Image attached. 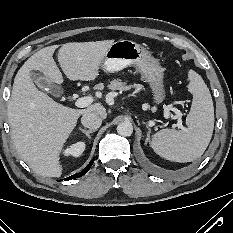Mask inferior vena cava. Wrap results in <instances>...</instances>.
Segmentation results:
<instances>
[{
	"label": "inferior vena cava",
	"mask_w": 233,
	"mask_h": 233,
	"mask_svg": "<svg viewBox=\"0 0 233 233\" xmlns=\"http://www.w3.org/2000/svg\"><path fill=\"white\" fill-rule=\"evenodd\" d=\"M81 123L86 128H89L91 130H96L101 126L102 118L94 112L85 113L81 118Z\"/></svg>",
	"instance_id": "1"
}]
</instances>
